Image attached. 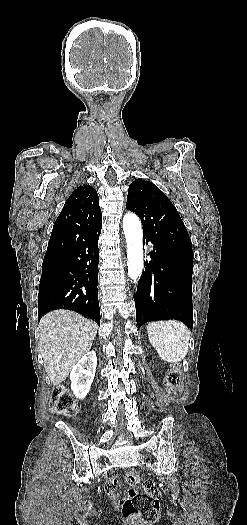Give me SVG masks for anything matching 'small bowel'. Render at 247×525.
<instances>
[{
  "label": "small bowel",
  "instance_id": "c3829d8e",
  "mask_svg": "<svg viewBox=\"0 0 247 525\" xmlns=\"http://www.w3.org/2000/svg\"><path fill=\"white\" fill-rule=\"evenodd\" d=\"M117 483L115 480L113 479H110L107 481L106 483V491L109 493V494H113L116 492L117 490Z\"/></svg>",
  "mask_w": 247,
  "mask_h": 525
}]
</instances>
